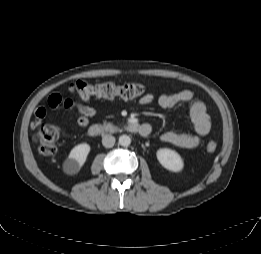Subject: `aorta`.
Segmentation results:
<instances>
[{
	"label": "aorta",
	"instance_id": "obj_1",
	"mask_svg": "<svg viewBox=\"0 0 261 254\" xmlns=\"http://www.w3.org/2000/svg\"><path fill=\"white\" fill-rule=\"evenodd\" d=\"M119 144L121 146L127 147L131 144V138L128 135H121L119 137Z\"/></svg>",
	"mask_w": 261,
	"mask_h": 254
}]
</instances>
